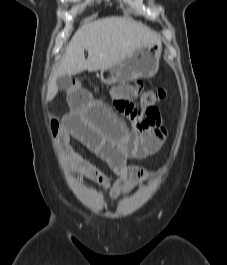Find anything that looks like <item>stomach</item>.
<instances>
[{
	"mask_svg": "<svg viewBox=\"0 0 227 265\" xmlns=\"http://www.w3.org/2000/svg\"><path fill=\"white\" fill-rule=\"evenodd\" d=\"M161 57V44L144 45L136 48L122 62L102 69L100 79L106 85L153 77Z\"/></svg>",
	"mask_w": 227,
	"mask_h": 265,
	"instance_id": "1",
	"label": "stomach"
}]
</instances>
